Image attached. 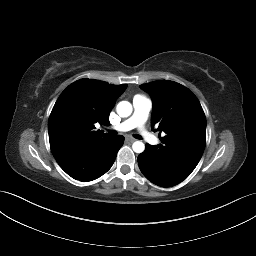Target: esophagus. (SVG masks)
I'll use <instances>...</instances> for the list:
<instances>
[{
    "label": "esophagus",
    "mask_w": 256,
    "mask_h": 256,
    "mask_svg": "<svg viewBox=\"0 0 256 256\" xmlns=\"http://www.w3.org/2000/svg\"><path fill=\"white\" fill-rule=\"evenodd\" d=\"M126 141H127V142H130V143H133V142L135 141V139L128 137V138H126Z\"/></svg>",
    "instance_id": "34e87169"
}]
</instances>
